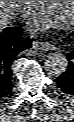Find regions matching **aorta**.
I'll return each instance as SVG.
<instances>
[{"label": "aorta", "instance_id": "762f6f07", "mask_svg": "<svg viewBox=\"0 0 74 122\" xmlns=\"http://www.w3.org/2000/svg\"><path fill=\"white\" fill-rule=\"evenodd\" d=\"M44 64L49 72L60 75L66 71L68 60L63 53L52 52L47 55Z\"/></svg>", "mask_w": 74, "mask_h": 122}]
</instances>
